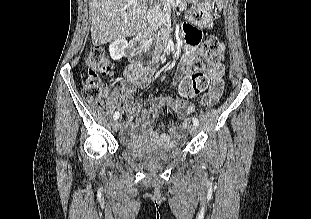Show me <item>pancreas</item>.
I'll return each mask as SVG.
<instances>
[{
	"label": "pancreas",
	"mask_w": 311,
	"mask_h": 219,
	"mask_svg": "<svg viewBox=\"0 0 311 219\" xmlns=\"http://www.w3.org/2000/svg\"><path fill=\"white\" fill-rule=\"evenodd\" d=\"M176 4L179 6L180 11H184L187 8V3L185 0H176ZM156 7L160 10L162 9L160 14H159V22L164 23L169 28L170 22H171V20H170V16H171L170 4L166 3L164 5L161 3H157Z\"/></svg>",
	"instance_id": "cf45deb5"
}]
</instances>
